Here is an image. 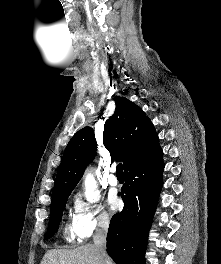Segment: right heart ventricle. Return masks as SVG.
<instances>
[{"label": "right heart ventricle", "mask_w": 221, "mask_h": 264, "mask_svg": "<svg viewBox=\"0 0 221 264\" xmlns=\"http://www.w3.org/2000/svg\"><path fill=\"white\" fill-rule=\"evenodd\" d=\"M75 237H76V235H75V233L73 231V228L66 227L65 228V238H66V240L72 241V240H74Z\"/></svg>", "instance_id": "1"}]
</instances>
